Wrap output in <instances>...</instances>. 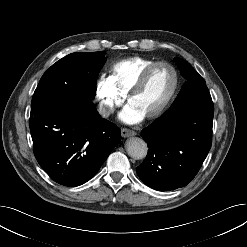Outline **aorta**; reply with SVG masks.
Returning <instances> with one entry per match:
<instances>
[{"mask_svg":"<svg viewBox=\"0 0 247 247\" xmlns=\"http://www.w3.org/2000/svg\"><path fill=\"white\" fill-rule=\"evenodd\" d=\"M125 148L128 155L137 160L145 158L148 151L146 142L138 137L128 139Z\"/></svg>","mask_w":247,"mask_h":247,"instance_id":"obj_1","label":"aorta"}]
</instances>
